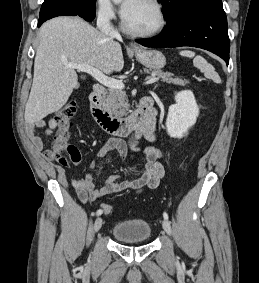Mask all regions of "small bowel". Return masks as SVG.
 <instances>
[{"label": "small bowel", "instance_id": "1", "mask_svg": "<svg viewBox=\"0 0 259 283\" xmlns=\"http://www.w3.org/2000/svg\"><path fill=\"white\" fill-rule=\"evenodd\" d=\"M44 128V134L50 135L56 128V122L53 118L45 121L43 119L29 122L26 126V134L32 141L34 148L37 151L43 150V138L37 133L38 129ZM141 137L146 138L150 142L156 140L155 119L152 123L137 132L136 138L130 143H126L121 139H109L98 150L97 156L105 158L110 151L115 150L119 160H124L133 156L135 153L142 152L145 157V166L143 175L134 180L118 181L117 174L111 175L102 187H97L94 181L96 162L92 161L89 170L80 178L74 179L72 185L82 202H90L98 200L107 194L118 193L122 191H133L140 193L143 188L147 187L155 189L165 175V168L161 163L163 152L155 147L149 146L143 150L138 147V142ZM47 156V153L45 154ZM48 157V156H47ZM47 170L53 172V167L48 165ZM62 174L61 171H58Z\"/></svg>", "mask_w": 259, "mask_h": 283}]
</instances>
